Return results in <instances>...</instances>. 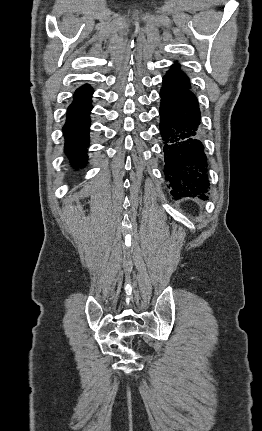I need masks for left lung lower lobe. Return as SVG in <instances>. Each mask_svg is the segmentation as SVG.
Instances as JSON below:
<instances>
[{"label":"left lung lower lobe","instance_id":"0a47b994","mask_svg":"<svg viewBox=\"0 0 262 431\" xmlns=\"http://www.w3.org/2000/svg\"><path fill=\"white\" fill-rule=\"evenodd\" d=\"M160 97V132L165 144L168 188L174 197L203 196L209 181L197 98L190 88L167 77L163 78Z\"/></svg>","mask_w":262,"mask_h":431}]
</instances>
